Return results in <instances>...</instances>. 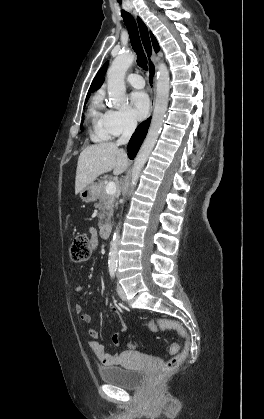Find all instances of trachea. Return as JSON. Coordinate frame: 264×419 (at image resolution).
Returning <instances> with one entry per match:
<instances>
[{
	"mask_svg": "<svg viewBox=\"0 0 264 419\" xmlns=\"http://www.w3.org/2000/svg\"><path fill=\"white\" fill-rule=\"evenodd\" d=\"M121 15L128 30L132 48L137 54V63L143 70H147V58L141 45L137 24L130 13L122 10Z\"/></svg>",
	"mask_w": 264,
	"mask_h": 419,
	"instance_id": "obj_1",
	"label": "trachea"
}]
</instances>
